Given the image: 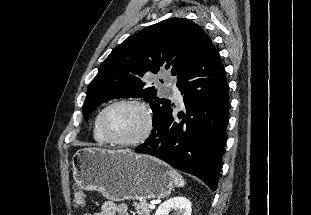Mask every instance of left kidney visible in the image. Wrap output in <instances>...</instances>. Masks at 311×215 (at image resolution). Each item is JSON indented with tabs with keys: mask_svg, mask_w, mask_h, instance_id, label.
<instances>
[{
	"mask_svg": "<svg viewBox=\"0 0 311 215\" xmlns=\"http://www.w3.org/2000/svg\"><path fill=\"white\" fill-rule=\"evenodd\" d=\"M171 211L174 215H191V202L183 196L170 198L158 207L155 215H169Z\"/></svg>",
	"mask_w": 311,
	"mask_h": 215,
	"instance_id": "5707ae66",
	"label": "left kidney"
}]
</instances>
